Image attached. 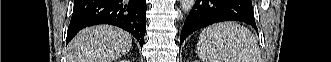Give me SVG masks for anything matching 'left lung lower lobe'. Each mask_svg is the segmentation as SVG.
<instances>
[{
  "instance_id": "1",
  "label": "left lung lower lobe",
  "mask_w": 331,
  "mask_h": 62,
  "mask_svg": "<svg viewBox=\"0 0 331 62\" xmlns=\"http://www.w3.org/2000/svg\"><path fill=\"white\" fill-rule=\"evenodd\" d=\"M222 21L244 22L257 30L251 0H196L185 20L180 45L194 31Z\"/></svg>"
}]
</instances>
